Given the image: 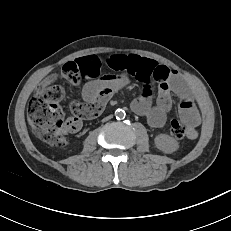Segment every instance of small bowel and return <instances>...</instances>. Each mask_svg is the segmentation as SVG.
<instances>
[{
  "instance_id": "obj_1",
  "label": "small bowel",
  "mask_w": 231,
  "mask_h": 231,
  "mask_svg": "<svg viewBox=\"0 0 231 231\" xmlns=\"http://www.w3.org/2000/svg\"><path fill=\"white\" fill-rule=\"evenodd\" d=\"M108 68L112 72H103ZM62 75L72 84L82 87V102L73 101V115L68 118L66 131L75 133L82 127L83 120L100 115L107 101L133 79L143 83L141 95L131 103V109L145 118L153 129L165 126L172 108L173 93L179 100V115L187 126V137L198 136L200 114L190 89L178 72L158 62L134 54H115L108 57L88 55L70 61L63 66ZM58 78V74L49 77L44 84ZM158 85L157 102H152V84Z\"/></svg>"
}]
</instances>
